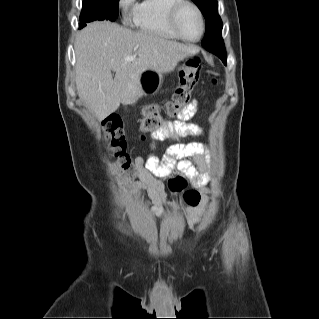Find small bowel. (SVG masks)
I'll list each match as a JSON object with an SVG mask.
<instances>
[{"label": "small bowel", "mask_w": 319, "mask_h": 319, "mask_svg": "<svg viewBox=\"0 0 319 319\" xmlns=\"http://www.w3.org/2000/svg\"><path fill=\"white\" fill-rule=\"evenodd\" d=\"M196 110L197 104L193 102L183 109L176 121H164L161 129L151 135L153 148L158 142L182 139L188 134L202 135L203 131L199 126L187 123L194 116ZM207 152L206 145L201 142H178L172 144L162 158L155 154L136 158V165L140 168L138 185L147 191L149 200L146 201V205L149 206L150 212L155 218H161L167 209L174 213L179 212L178 206L167 199L164 184L159 180L160 177L175 170L186 175L193 185L200 189L203 193L204 203H206L208 199L205 190L206 176L198 174L191 159L201 165L203 163L201 157ZM197 220L198 216L193 215L189 218V223L195 224Z\"/></svg>", "instance_id": "1"}]
</instances>
